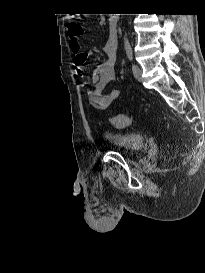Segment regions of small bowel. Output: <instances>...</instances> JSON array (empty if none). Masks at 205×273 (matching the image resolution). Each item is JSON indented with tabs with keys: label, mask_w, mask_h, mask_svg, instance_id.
<instances>
[{
	"label": "small bowel",
	"mask_w": 205,
	"mask_h": 273,
	"mask_svg": "<svg viewBox=\"0 0 205 273\" xmlns=\"http://www.w3.org/2000/svg\"><path fill=\"white\" fill-rule=\"evenodd\" d=\"M117 48V41H113V38L109 37L103 47L106 60L96 65L92 74L86 75L84 64L91 55V51H82L78 39L70 37V49L76 55L73 65L74 74L82 80L84 87L88 84L94 85L93 89L85 88V93L89 103L97 110L107 109L120 95L119 89H112L108 93H104L107 84L115 76L114 65Z\"/></svg>",
	"instance_id": "c3829d8e"
}]
</instances>
